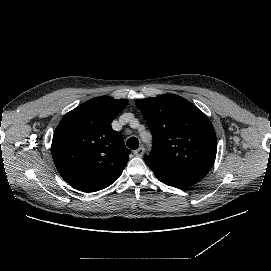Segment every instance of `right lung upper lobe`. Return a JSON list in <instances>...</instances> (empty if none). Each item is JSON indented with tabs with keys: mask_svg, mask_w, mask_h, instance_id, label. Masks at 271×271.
<instances>
[{
	"mask_svg": "<svg viewBox=\"0 0 271 271\" xmlns=\"http://www.w3.org/2000/svg\"><path fill=\"white\" fill-rule=\"evenodd\" d=\"M127 104L126 99L96 97L62 118L53 135L52 157L69 185L95 192L119 178L131 152L111 123Z\"/></svg>",
	"mask_w": 271,
	"mask_h": 271,
	"instance_id": "obj_1",
	"label": "right lung upper lobe"
}]
</instances>
